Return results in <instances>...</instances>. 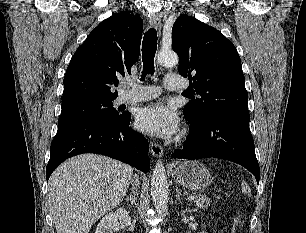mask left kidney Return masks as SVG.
<instances>
[{"instance_id":"obj_1","label":"left kidney","mask_w":306,"mask_h":233,"mask_svg":"<svg viewBox=\"0 0 306 233\" xmlns=\"http://www.w3.org/2000/svg\"><path fill=\"white\" fill-rule=\"evenodd\" d=\"M203 227H205V225H203ZM202 233H206L205 231H203Z\"/></svg>"}]
</instances>
